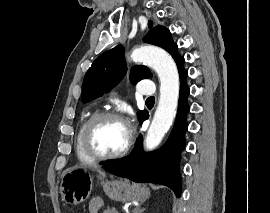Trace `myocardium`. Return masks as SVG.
Listing matches in <instances>:
<instances>
[{
	"label": "myocardium",
	"mask_w": 270,
	"mask_h": 213,
	"mask_svg": "<svg viewBox=\"0 0 270 213\" xmlns=\"http://www.w3.org/2000/svg\"><path fill=\"white\" fill-rule=\"evenodd\" d=\"M119 120L124 123H126L125 119L117 112L113 111H103L100 113L95 114L87 123L84 132H83V148L85 152L94 160L97 161H107V160H115L124 157L128 152L130 151L134 139H133V134L131 129L129 128V135H128V140L125 145V147L113 154H101L98 151L95 150L93 146V134L97 127L104 121L106 120Z\"/></svg>",
	"instance_id": "obj_1"
}]
</instances>
